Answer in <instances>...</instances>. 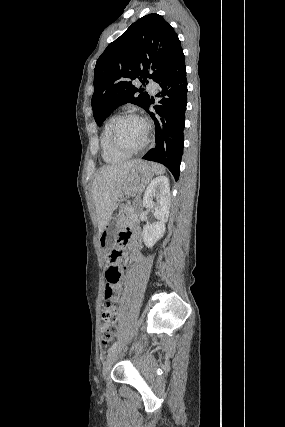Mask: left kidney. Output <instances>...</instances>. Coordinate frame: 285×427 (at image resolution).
I'll list each match as a JSON object with an SVG mask.
<instances>
[{
  "mask_svg": "<svg viewBox=\"0 0 285 427\" xmlns=\"http://www.w3.org/2000/svg\"><path fill=\"white\" fill-rule=\"evenodd\" d=\"M142 204L143 207L151 209L158 220L143 227V241L148 248H152L163 237L165 223L169 217L170 187L166 176H159L151 181L144 193Z\"/></svg>",
  "mask_w": 285,
  "mask_h": 427,
  "instance_id": "left-kidney-1",
  "label": "left kidney"
}]
</instances>
